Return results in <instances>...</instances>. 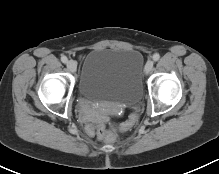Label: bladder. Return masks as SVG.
Returning <instances> with one entry per match:
<instances>
[{
  "label": "bladder",
  "instance_id": "31cf9c89",
  "mask_svg": "<svg viewBox=\"0 0 219 174\" xmlns=\"http://www.w3.org/2000/svg\"><path fill=\"white\" fill-rule=\"evenodd\" d=\"M142 69V54L135 49H93L83 59L78 94L93 102L135 106L143 94Z\"/></svg>",
  "mask_w": 219,
  "mask_h": 174
}]
</instances>
